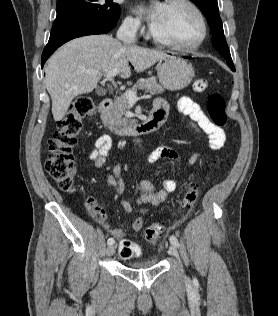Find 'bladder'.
Segmentation results:
<instances>
[{
    "instance_id": "31cf9c89",
    "label": "bladder",
    "mask_w": 278,
    "mask_h": 316,
    "mask_svg": "<svg viewBox=\"0 0 278 316\" xmlns=\"http://www.w3.org/2000/svg\"><path fill=\"white\" fill-rule=\"evenodd\" d=\"M158 264V260L155 258L144 259L139 261H132L127 263V267L133 270H146L155 267Z\"/></svg>"
}]
</instances>
